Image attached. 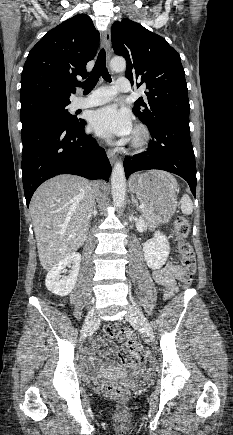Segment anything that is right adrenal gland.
Segmentation results:
<instances>
[{"label":"right adrenal gland","instance_id":"1","mask_svg":"<svg viewBox=\"0 0 233 435\" xmlns=\"http://www.w3.org/2000/svg\"><path fill=\"white\" fill-rule=\"evenodd\" d=\"M96 215H97V207H96V205H95V206H94V210H93V213H92L91 218H92V217H96Z\"/></svg>","mask_w":233,"mask_h":435}]
</instances>
